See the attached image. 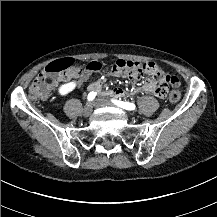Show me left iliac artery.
<instances>
[{
  "mask_svg": "<svg viewBox=\"0 0 217 217\" xmlns=\"http://www.w3.org/2000/svg\"><path fill=\"white\" fill-rule=\"evenodd\" d=\"M112 102L116 105H118L119 107L126 109V110H134L135 109V104L134 103H130V102H124V101H117L112 99Z\"/></svg>",
  "mask_w": 217,
  "mask_h": 217,
  "instance_id": "left-iliac-artery-1",
  "label": "left iliac artery"
}]
</instances>
